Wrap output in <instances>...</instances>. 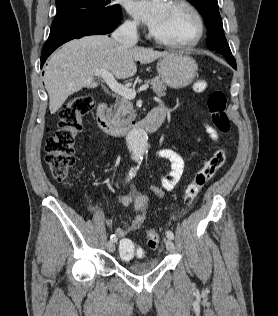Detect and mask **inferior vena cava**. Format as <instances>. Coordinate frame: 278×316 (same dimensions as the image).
<instances>
[{"instance_id": "obj_1", "label": "inferior vena cava", "mask_w": 278, "mask_h": 316, "mask_svg": "<svg viewBox=\"0 0 278 316\" xmlns=\"http://www.w3.org/2000/svg\"><path fill=\"white\" fill-rule=\"evenodd\" d=\"M112 38L123 46H134L138 42L137 23L126 21L112 33Z\"/></svg>"}]
</instances>
